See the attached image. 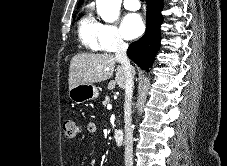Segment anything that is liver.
<instances>
[{
	"mask_svg": "<svg viewBox=\"0 0 227 166\" xmlns=\"http://www.w3.org/2000/svg\"><path fill=\"white\" fill-rule=\"evenodd\" d=\"M116 58L111 53L75 55L69 66V89L79 84L100 83L110 79L113 75ZM125 75L122 67H118L115 80L110 81L108 88L115 85L124 88Z\"/></svg>",
	"mask_w": 227,
	"mask_h": 166,
	"instance_id": "1",
	"label": "liver"
}]
</instances>
